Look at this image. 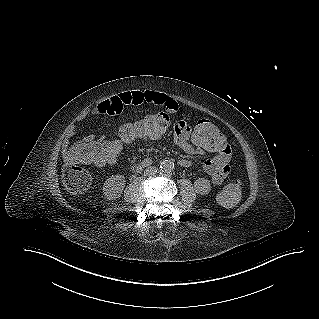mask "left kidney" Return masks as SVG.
Wrapping results in <instances>:
<instances>
[{
	"label": "left kidney",
	"mask_w": 319,
	"mask_h": 319,
	"mask_svg": "<svg viewBox=\"0 0 319 319\" xmlns=\"http://www.w3.org/2000/svg\"><path fill=\"white\" fill-rule=\"evenodd\" d=\"M196 192L201 195L208 194L211 190V185L209 180L204 178H199L194 183Z\"/></svg>",
	"instance_id": "5707ae66"
}]
</instances>
